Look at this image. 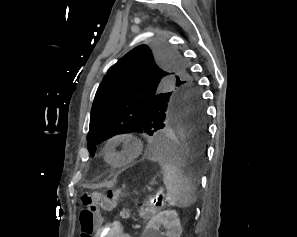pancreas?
<instances>
[{"mask_svg":"<svg viewBox=\"0 0 297 237\" xmlns=\"http://www.w3.org/2000/svg\"><path fill=\"white\" fill-rule=\"evenodd\" d=\"M159 210L157 208L154 207H142L139 210V216L141 218H143L144 220H149L150 218H152Z\"/></svg>","mask_w":297,"mask_h":237,"instance_id":"pancreas-1","label":"pancreas"}]
</instances>
